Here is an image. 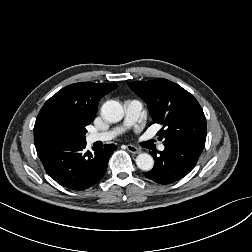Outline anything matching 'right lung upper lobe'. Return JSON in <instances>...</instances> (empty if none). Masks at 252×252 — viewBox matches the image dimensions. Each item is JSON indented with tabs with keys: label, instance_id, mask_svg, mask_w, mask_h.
Returning <instances> with one entry per match:
<instances>
[{
	"label": "right lung upper lobe",
	"instance_id": "cb5924a9",
	"mask_svg": "<svg viewBox=\"0 0 252 252\" xmlns=\"http://www.w3.org/2000/svg\"><path fill=\"white\" fill-rule=\"evenodd\" d=\"M117 86L116 83H74L54 94L46 101L36 118V148H39L41 132L50 124L61 123L75 129H85L94 120L100 99Z\"/></svg>",
	"mask_w": 252,
	"mask_h": 252
}]
</instances>
